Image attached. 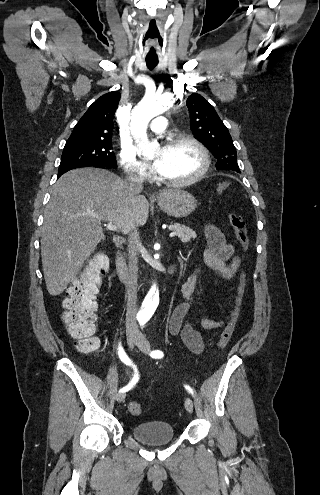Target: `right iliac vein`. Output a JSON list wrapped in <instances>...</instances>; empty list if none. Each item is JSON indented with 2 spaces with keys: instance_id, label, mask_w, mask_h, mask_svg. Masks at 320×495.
<instances>
[{
  "instance_id": "obj_1",
  "label": "right iliac vein",
  "mask_w": 320,
  "mask_h": 495,
  "mask_svg": "<svg viewBox=\"0 0 320 495\" xmlns=\"http://www.w3.org/2000/svg\"><path fill=\"white\" fill-rule=\"evenodd\" d=\"M127 341H128L130 348H133L134 345L136 344V335L132 332H128L127 333ZM125 396H126L125 392H119L116 395V401L119 403L122 402L125 399Z\"/></svg>"
}]
</instances>
